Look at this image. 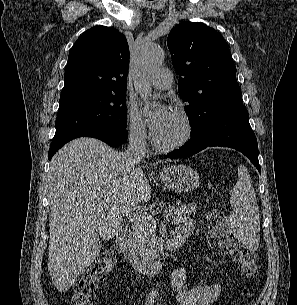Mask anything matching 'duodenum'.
Returning <instances> with one entry per match:
<instances>
[{"mask_svg": "<svg viewBox=\"0 0 297 305\" xmlns=\"http://www.w3.org/2000/svg\"><path fill=\"white\" fill-rule=\"evenodd\" d=\"M190 233L189 229L177 230L175 235L167 240L161 249L150 257H145L136 250L131 231L125 224L119 226L116 242L123 257L132 266L141 272L154 274L160 272L163 268L164 256L162 253L181 248Z\"/></svg>", "mask_w": 297, "mask_h": 305, "instance_id": "duodenum-1", "label": "duodenum"}]
</instances>
